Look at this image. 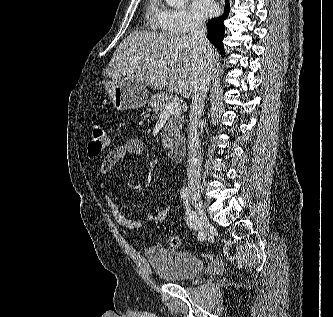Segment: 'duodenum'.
<instances>
[{"mask_svg":"<svg viewBox=\"0 0 333 317\" xmlns=\"http://www.w3.org/2000/svg\"><path fill=\"white\" fill-rule=\"evenodd\" d=\"M187 141L184 137L176 138L168 146L169 158L174 162H180L186 155Z\"/></svg>","mask_w":333,"mask_h":317,"instance_id":"obj_1","label":"duodenum"}]
</instances>
